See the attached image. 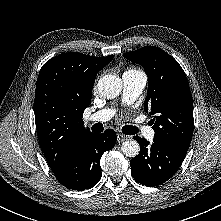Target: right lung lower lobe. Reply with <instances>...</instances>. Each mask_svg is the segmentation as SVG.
<instances>
[{"label": "right lung lower lobe", "mask_w": 221, "mask_h": 221, "mask_svg": "<svg viewBox=\"0 0 221 221\" xmlns=\"http://www.w3.org/2000/svg\"><path fill=\"white\" fill-rule=\"evenodd\" d=\"M116 133L107 129L104 133L90 131L83 135L64 164L52 170L56 179L66 188L85 190L94 187L101 179L100 158L116 144Z\"/></svg>", "instance_id": "98d812e1"}]
</instances>
